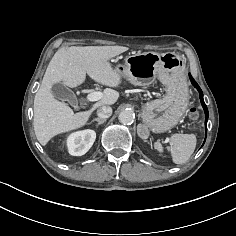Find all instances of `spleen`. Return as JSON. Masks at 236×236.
Segmentation results:
<instances>
[{
    "mask_svg": "<svg viewBox=\"0 0 236 236\" xmlns=\"http://www.w3.org/2000/svg\"><path fill=\"white\" fill-rule=\"evenodd\" d=\"M171 146L168 150L171 153L172 160L175 164H183L188 161L196 147V136L194 134H174L170 138ZM155 148L163 151L160 142H155Z\"/></svg>",
    "mask_w": 236,
    "mask_h": 236,
    "instance_id": "1",
    "label": "spleen"
}]
</instances>
